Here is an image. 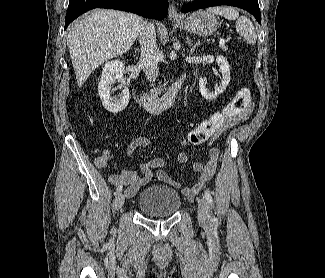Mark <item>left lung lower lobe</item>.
Returning a JSON list of instances; mask_svg holds the SVG:
<instances>
[{"label": "left lung lower lobe", "instance_id": "0a47b994", "mask_svg": "<svg viewBox=\"0 0 325 278\" xmlns=\"http://www.w3.org/2000/svg\"><path fill=\"white\" fill-rule=\"evenodd\" d=\"M229 5L242 8L254 15L258 23H261V14L258 0H197L182 6L183 12H190L201 8Z\"/></svg>", "mask_w": 325, "mask_h": 278}]
</instances>
